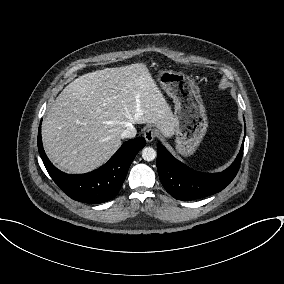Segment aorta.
Listing matches in <instances>:
<instances>
[{"label":"aorta","instance_id":"762f6f07","mask_svg":"<svg viewBox=\"0 0 284 284\" xmlns=\"http://www.w3.org/2000/svg\"><path fill=\"white\" fill-rule=\"evenodd\" d=\"M156 151L152 147H145L142 150V158L145 161H153L156 158Z\"/></svg>","mask_w":284,"mask_h":284}]
</instances>
